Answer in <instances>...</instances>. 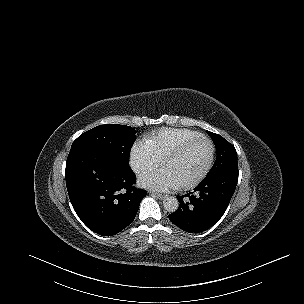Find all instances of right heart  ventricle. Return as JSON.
Segmentation results:
<instances>
[{
	"instance_id": "obj_1",
	"label": "right heart ventricle",
	"mask_w": 304,
	"mask_h": 304,
	"mask_svg": "<svg viewBox=\"0 0 304 304\" xmlns=\"http://www.w3.org/2000/svg\"><path fill=\"white\" fill-rule=\"evenodd\" d=\"M200 134L185 128H163L148 137V143L160 159H166L175 149Z\"/></svg>"
}]
</instances>
